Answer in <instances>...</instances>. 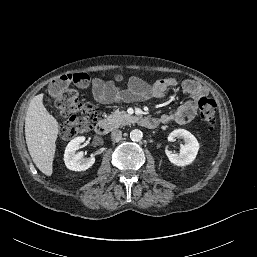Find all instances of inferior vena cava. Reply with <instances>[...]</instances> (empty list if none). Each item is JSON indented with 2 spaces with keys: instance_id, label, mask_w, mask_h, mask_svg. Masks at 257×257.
Listing matches in <instances>:
<instances>
[{
  "instance_id": "1",
  "label": "inferior vena cava",
  "mask_w": 257,
  "mask_h": 257,
  "mask_svg": "<svg viewBox=\"0 0 257 257\" xmlns=\"http://www.w3.org/2000/svg\"><path fill=\"white\" fill-rule=\"evenodd\" d=\"M121 138H122L121 130L117 129V130H114V131L111 132V139L113 141H119V140H121Z\"/></svg>"
}]
</instances>
